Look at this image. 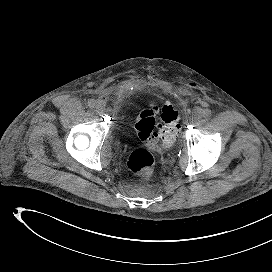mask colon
<instances>
[{"mask_svg":"<svg viewBox=\"0 0 272 272\" xmlns=\"http://www.w3.org/2000/svg\"><path fill=\"white\" fill-rule=\"evenodd\" d=\"M159 107L150 103L138 115L135 129L139 138L152 149L169 148L179 131L178 112L171 105L161 109V123L155 131L156 116ZM155 160L150 151L139 148L134 150L127 161L129 170L141 176H150L154 169Z\"/></svg>","mask_w":272,"mask_h":272,"instance_id":"obj_1","label":"colon"}]
</instances>
